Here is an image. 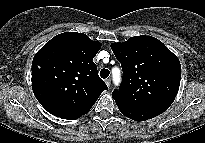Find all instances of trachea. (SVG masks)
<instances>
[{
    "instance_id": "3493384b",
    "label": "trachea",
    "mask_w": 205,
    "mask_h": 143,
    "mask_svg": "<svg viewBox=\"0 0 205 143\" xmlns=\"http://www.w3.org/2000/svg\"><path fill=\"white\" fill-rule=\"evenodd\" d=\"M109 74H110V72H109L108 69H102V70L100 71V76H101V78H103V79L107 78V77L109 76Z\"/></svg>"
}]
</instances>
